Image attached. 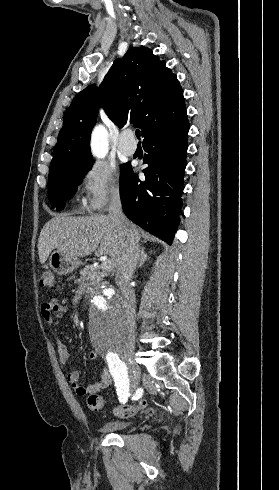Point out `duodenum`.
I'll list each match as a JSON object with an SVG mask.
<instances>
[{
    "mask_svg": "<svg viewBox=\"0 0 279 490\" xmlns=\"http://www.w3.org/2000/svg\"><path fill=\"white\" fill-rule=\"evenodd\" d=\"M94 293V289L93 288H88L85 292V297L88 299L90 298Z\"/></svg>",
    "mask_w": 279,
    "mask_h": 490,
    "instance_id": "1",
    "label": "duodenum"
}]
</instances>
